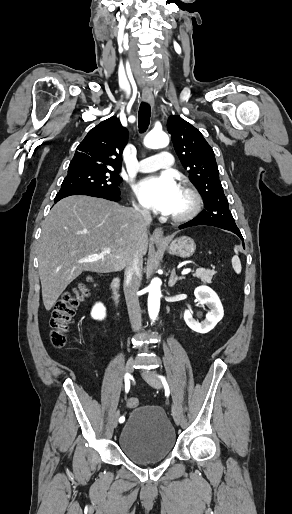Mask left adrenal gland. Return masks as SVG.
Returning a JSON list of instances; mask_svg holds the SVG:
<instances>
[{
    "label": "left adrenal gland",
    "mask_w": 292,
    "mask_h": 514,
    "mask_svg": "<svg viewBox=\"0 0 292 514\" xmlns=\"http://www.w3.org/2000/svg\"><path fill=\"white\" fill-rule=\"evenodd\" d=\"M177 280H184V278H183V276H180V278H178V276H176V274H175V268H173V270L171 272V276L169 278L168 286H174V284H176Z\"/></svg>",
    "instance_id": "left-adrenal-gland-1"
}]
</instances>
